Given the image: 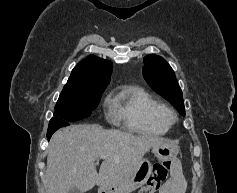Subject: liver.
Instances as JSON below:
<instances>
[{
	"label": "liver",
	"mask_w": 237,
	"mask_h": 193,
	"mask_svg": "<svg viewBox=\"0 0 237 193\" xmlns=\"http://www.w3.org/2000/svg\"><path fill=\"white\" fill-rule=\"evenodd\" d=\"M165 140L135 136L98 124H77L57 131L47 150L46 193H68L76 187L85 192L95 185L107 186L127 177L144 154ZM99 173L95 161L101 156Z\"/></svg>",
	"instance_id": "obj_1"
}]
</instances>
